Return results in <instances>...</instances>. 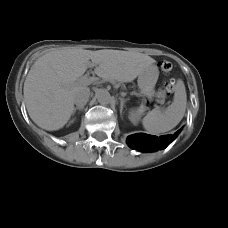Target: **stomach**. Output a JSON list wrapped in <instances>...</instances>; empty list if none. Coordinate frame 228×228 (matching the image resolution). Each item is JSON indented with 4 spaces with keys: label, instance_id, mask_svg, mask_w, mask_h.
Wrapping results in <instances>:
<instances>
[{
    "label": "stomach",
    "instance_id": "0dacf381",
    "mask_svg": "<svg viewBox=\"0 0 228 228\" xmlns=\"http://www.w3.org/2000/svg\"><path fill=\"white\" fill-rule=\"evenodd\" d=\"M159 71L155 65L146 68L138 77V87L141 94L151 96L158 80Z\"/></svg>",
    "mask_w": 228,
    "mask_h": 228
}]
</instances>
